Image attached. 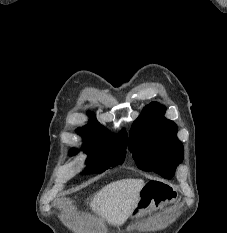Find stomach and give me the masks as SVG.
<instances>
[{"label": "stomach", "instance_id": "0dacf381", "mask_svg": "<svg viewBox=\"0 0 227 233\" xmlns=\"http://www.w3.org/2000/svg\"><path fill=\"white\" fill-rule=\"evenodd\" d=\"M169 188L172 192V188L164 182L156 180L146 182L140 191L139 201L131 212V218H139L156 210L167 201Z\"/></svg>", "mask_w": 227, "mask_h": 233}]
</instances>
